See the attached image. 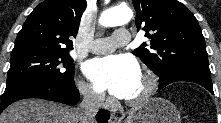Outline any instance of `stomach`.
<instances>
[{"instance_id": "obj_1", "label": "stomach", "mask_w": 221, "mask_h": 123, "mask_svg": "<svg viewBox=\"0 0 221 123\" xmlns=\"http://www.w3.org/2000/svg\"><path fill=\"white\" fill-rule=\"evenodd\" d=\"M124 123H181V116L171 102L155 97L132 109Z\"/></svg>"}]
</instances>
